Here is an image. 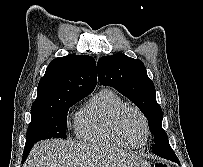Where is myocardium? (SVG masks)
Returning <instances> with one entry per match:
<instances>
[{
    "label": "myocardium",
    "mask_w": 203,
    "mask_h": 167,
    "mask_svg": "<svg viewBox=\"0 0 203 167\" xmlns=\"http://www.w3.org/2000/svg\"><path fill=\"white\" fill-rule=\"evenodd\" d=\"M129 111H134L136 112L142 119L143 121V124H144V129H145V138L143 140L142 143L140 144H134V143H131L126 137L125 135L123 134V132L121 131V128H120V121H121V118L123 117V115ZM112 127H113V130L115 132V134L123 141L125 142L128 146L130 147H133V148H140V147H143L148 139H149V135H150V125H149V120L147 118V116L145 115V113L140 109L138 108L137 106H133V105H125L123 107H121L117 113L115 114L114 118H113V121H112Z\"/></svg>",
    "instance_id": "1"
}]
</instances>
